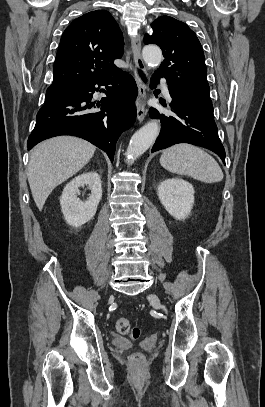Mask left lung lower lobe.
Instances as JSON below:
<instances>
[{
	"label": "left lung lower lobe",
	"instance_id": "obj_1",
	"mask_svg": "<svg viewBox=\"0 0 265 407\" xmlns=\"http://www.w3.org/2000/svg\"><path fill=\"white\" fill-rule=\"evenodd\" d=\"M159 78L160 75L155 72L151 78V88L156 87ZM170 96L172 116L160 114L155 108L149 110L151 118L161 120V132L152 152L178 143H189L212 150L225 164V150L218 137L213 114L175 96L171 91Z\"/></svg>",
	"mask_w": 265,
	"mask_h": 407
}]
</instances>
